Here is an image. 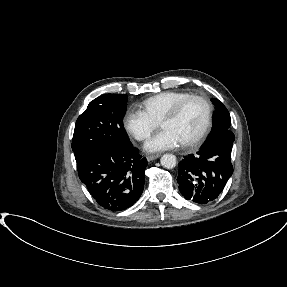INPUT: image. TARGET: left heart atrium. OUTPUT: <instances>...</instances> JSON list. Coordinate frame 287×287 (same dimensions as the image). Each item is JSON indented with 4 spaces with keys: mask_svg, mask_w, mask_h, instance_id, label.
<instances>
[{
    "mask_svg": "<svg viewBox=\"0 0 287 287\" xmlns=\"http://www.w3.org/2000/svg\"><path fill=\"white\" fill-rule=\"evenodd\" d=\"M179 136L171 129H163L153 135L145 144L148 151H161L171 149L181 144Z\"/></svg>",
    "mask_w": 287,
    "mask_h": 287,
    "instance_id": "obj_1",
    "label": "left heart atrium"
}]
</instances>
